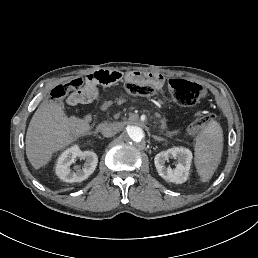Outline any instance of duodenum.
<instances>
[{
  "label": "duodenum",
  "instance_id": "obj_1",
  "mask_svg": "<svg viewBox=\"0 0 258 258\" xmlns=\"http://www.w3.org/2000/svg\"><path fill=\"white\" fill-rule=\"evenodd\" d=\"M124 77V72L120 70L97 71L87 76V84L96 88L98 85L113 86L119 83Z\"/></svg>",
  "mask_w": 258,
  "mask_h": 258
}]
</instances>
